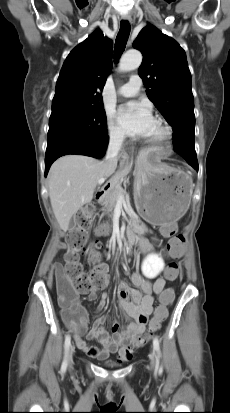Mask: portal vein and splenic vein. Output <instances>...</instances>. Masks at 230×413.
<instances>
[{"label": "portal vein and splenic vein", "mask_w": 230, "mask_h": 413, "mask_svg": "<svg viewBox=\"0 0 230 413\" xmlns=\"http://www.w3.org/2000/svg\"><path fill=\"white\" fill-rule=\"evenodd\" d=\"M104 182H105V178H100L98 180V184H103ZM117 203L120 204V205H122V204L125 205L126 202H125L124 196L120 195L119 198H118Z\"/></svg>", "instance_id": "portal-vein-and-splenic-vein-1"}]
</instances>
